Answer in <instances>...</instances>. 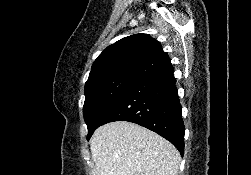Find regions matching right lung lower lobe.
<instances>
[{
    "mask_svg": "<svg viewBox=\"0 0 251 175\" xmlns=\"http://www.w3.org/2000/svg\"><path fill=\"white\" fill-rule=\"evenodd\" d=\"M173 72L132 84L102 115L98 127L112 121L139 124L170 141L183 156L185 127Z\"/></svg>",
    "mask_w": 251,
    "mask_h": 175,
    "instance_id": "right-lung-lower-lobe-1",
    "label": "right lung lower lobe"
}]
</instances>
